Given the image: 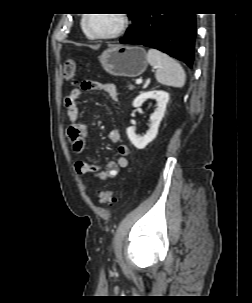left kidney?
<instances>
[{
    "instance_id": "obj_1",
    "label": "left kidney",
    "mask_w": 252,
    "mask_h": 303,
    "mask_svg": "<svg viewBox=\"0 0 252 303\" xmlns=\"http://www.w3.org/2000/svg\"><path fill=\"white\" fill-rule=\"evenodd\" d=\"M147 99H155L157 102V108L151 115L150 128L144 136L136 135L135 128L133 126L128 127L126 132L129 140L137 149H144L150 142H152L157 133L160 122L164 117L166 105L169 101V94L165 91H148L138 95L133 101V107L141 106Z\"/></svg>"
}]
</instances>
